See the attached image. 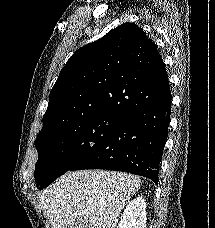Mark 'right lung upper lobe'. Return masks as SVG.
I'll return each mask as SVG.
<instances>
[{"instance_id": "cb5924a9", "label": "right lung upper lobe", "mask_w": 215, "mask_h": 228, "mask_svg": "<svg viewBox=\"0 0 215 228\" xmlns=\"http://www.w3.org/2000/svg\"><path fill=\"white\" fill-rule=\"evenodd\" d=\"M165 64L134 23H124L78 49L54 84L40 132L93 116L125 117L165 97Z\"/></svg>"}]
</instances>
